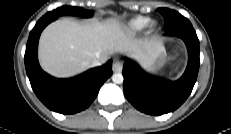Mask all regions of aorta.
<instances>
[{"label":"aorta","instance_id":"obj_1","mask_svg":"<svg viewBox=\"0 0 231 134\" xmlns=\"http://www.w3.org/2000/svg\"><path fill=\"white\" fill-rule=\"evenodd\" d=\"M112 81L115 84H121L123 83V75L121 73H115L112 75Z\"/></svg>","mask_w":231,"mask_h":134}]
</instances>
